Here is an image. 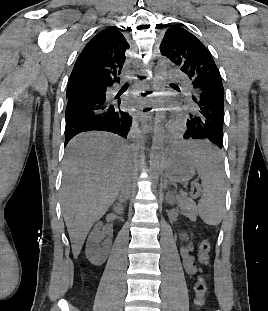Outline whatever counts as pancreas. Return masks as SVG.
Returning a JSON list of instances; mask_svg holds the SVG:
<instances>
[{"mask_svg":"<svg viewBox=\"0 0 268 311\" xmlns=\"http://www.w3.org/2000/svg\"><path fill=\"white\" fill-rule=\"evenodd\" d=\"M178 206L183 211V214L189 218H192L197 211L195 202L186 196L178 198Z\"/></svg>","mask_w":268,"mask_h":311,"instance_id":"cf45deb5","label":"pancreas"}]
</instances>
